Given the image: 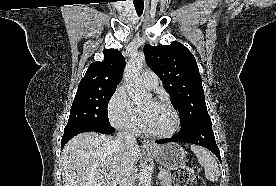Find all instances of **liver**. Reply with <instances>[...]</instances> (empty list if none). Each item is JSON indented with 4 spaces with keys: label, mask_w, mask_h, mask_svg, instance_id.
<instances>
[{
    "label": "liver",
    "mask_w": 276,
    "mask_h": 186,
    "mask_svg": "<svg viewBox=\"0 0 276 186\" xmlns=\"http://www.w3.org/2000/svg\"><path fill=\"white\" fill-rule=\"evenodd\" d=\"M141 156L137 145L124 153L110 136L81 133L62 150L63 186H117L123 163L129 160L136 165Z\"/></svg>",
    "instance_id": "obj_1"
}]
</instances>
